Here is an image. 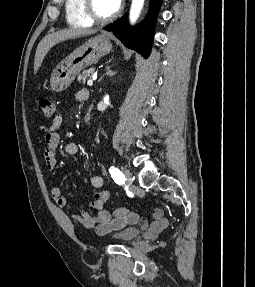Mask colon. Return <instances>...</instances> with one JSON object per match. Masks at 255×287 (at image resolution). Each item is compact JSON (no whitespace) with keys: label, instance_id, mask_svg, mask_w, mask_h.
<instances>
[{"label":"colon","instance_id":"5ec220e1","mask_svg":"<svg viewBox=\"0 0 255 287\" xmlns=\"http://www.w3.org/2000/svg\"><path fill=\"white\" fill-rule=\"evenodd\" d=\"M40 109L45 118H52L55 112V104L53 101L43 98L40 100ZM130 213L126 207L117 208L113 211L114 217H124Z\"/></svg>","mask_w":255,"mask_h":287}]
</instances>
